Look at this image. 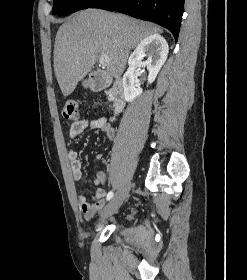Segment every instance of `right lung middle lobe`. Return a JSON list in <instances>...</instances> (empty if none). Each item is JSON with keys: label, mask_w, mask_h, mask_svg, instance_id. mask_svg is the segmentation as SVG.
<instances>
[{"label": "right lung middle lobe", "mask_w": 247, "mask_h": 280, "mask_svg": "<svg viewBox=\"0 0 247 280\" xmlns=\"http://www.w3.org/2000/svg\"><path fill=\"white\" fill-rule=\"evenodd\" d=\"M98 0H54L52 13L64 16L91 7Z\"/></svg>", "instance_id": "right-lung-middle-lobe-1"}]
</instances>
